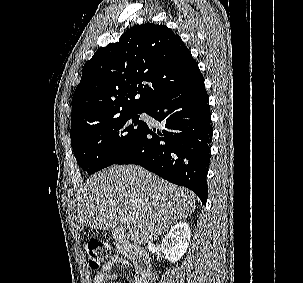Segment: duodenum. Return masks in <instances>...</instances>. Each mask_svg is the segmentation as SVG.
I'll use <instances>...</instances> for the list:
<instances>
[{
  "label": "duodenum",
  "instance_id": "1",
  "mask_svg": "<svg viewBox=\"0 0 303 283\" xmlns=\"http://www.w3.org/2000/svg\"><path fill=\"white\" fill-rule=\"evenodd\" d=\"M113 236L119 244L127 247L126 233L122 229L115 228L113 230ZM131 255L137 265V283H148L152 273L151 260L148 254L140 249H131Z\"/></svg>",
  "mask_w": 303,
  "mask_h": 283
}]
</instances>
